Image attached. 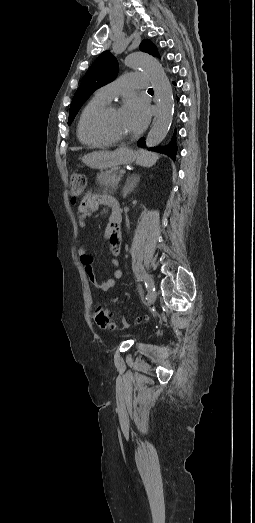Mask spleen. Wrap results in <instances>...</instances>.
<instances>
[{"label": "spleen", "instance_id": "3e777b00", "mask_svg": "<svg viewBox=\"0 0 255 523\" xmlns=\"http://www.w3.org/2000/svg\"><path fill=\"white\" fill-rule=\"evenodd\" d=\"M157 160H159L158 154H154V152H145V150H141L136 160V164H138V166H144V168H151V166H154V164H156Z\"/></svg>", "mask_w": 255, "mask_h": 523}]
</instances>
